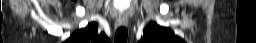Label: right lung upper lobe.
<instances>
[{
  "instance_id": "obj_1",
  "label": "right lung upper lobe",
  "mask_w": 256,
  "mask_h": 43,
  "mask_svg": "<svg viewBox=\"0 0 256 43\" xmlns=\"http://www.w3.org/2000/svg\"><path fill=\"white\" fill-rule=\"evenodd\" d=\"M65 43H110L104 33L98 34L96 23H90L85 28L75 31Z\"/></svg>"
}]
</instances>
